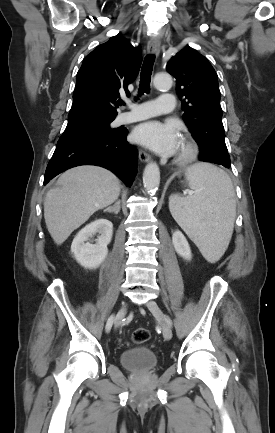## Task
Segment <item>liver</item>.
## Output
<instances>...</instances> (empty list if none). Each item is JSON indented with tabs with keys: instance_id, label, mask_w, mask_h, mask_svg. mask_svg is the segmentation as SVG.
<instances>
[{
	"instance_id": "6515ba94",
	"label": "liver",
	"mask_w": 275,
	"mask_h": 433,
	"mask_svg": "<svg viewBox=\"0 0 275 433\" xmlns=\"http://www.w3.org/2000/svg\"><path fill=\"white\" fill-rule=\"evenodd\" d=\"M120 181L109 170L83 165L65 171L44 201L47 229L57 245L85 223L96 211L119 197Z\"/></svg>"
}]
</instances>
